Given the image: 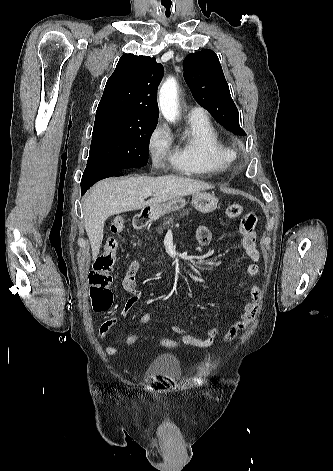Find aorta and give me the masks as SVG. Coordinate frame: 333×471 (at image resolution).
I'll return each mask as SVG.
<instances>
[{
	"label": "aorta",
	"instance_id": "aorta-1",
	"mask_svg": "<svg viewBox=\"0 0 333 471\" xmlns=\"http://www.w3.org/2000/svg\"><path fill=\"white\" fill-rule=\"evenodd\" d=\"M159 107L164 118L173 123L178 115L177 82L173 77L168 78L159 92Z\"/></svg>",
	"mask_w": 333,
	"mask_h": 471
}]
</instances>
